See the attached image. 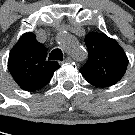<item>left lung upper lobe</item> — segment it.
I'll list each match as a JSON object with an SVG mask.
<instances>
[{
    "label": "left lung upper lobe",
    "instance_id": "left-lung-upper-lobe-1",
    "mask_svg": "<svg viewBox=\"0 0 135 135\" xmlns=\"http://www.w3.org/2000/svg\"><path fill=\"white\" fill-rule=\"evenodd\" d=\"M88 61L80 69L83 77L96 87L116 84L124 76L128 58L124 50L104 33L90 32L85 37Z\"/></svg>",
    "mask_w": 135,
    "mask_h": 135
}]
</instances>
